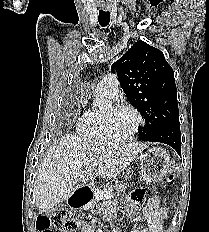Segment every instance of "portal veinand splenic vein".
Here are the masks:
<instances>
[{
	"label": "portal vein and splenic vein",
	"instance_id": "obj_1",
	"mask_svg": "<svg viewBox=\"0 0 209 232\" xmlns=\"http://www.w3.org/2000/svg\"><path fill=\"white\" fill-rule=\"evenodd\" d=\"M93 167H96L98 165L97 161H93L91 164ZM112 197V194L105 195V199H110Z\"/></svg>",
	"mask_w": 209,
	"mask_h": 232
}]
</instances>
